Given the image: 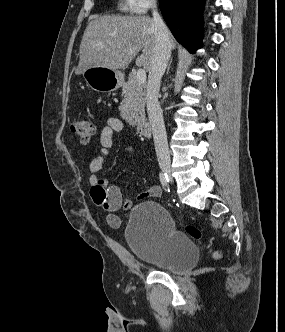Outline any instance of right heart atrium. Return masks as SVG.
I'll return each instance as SVG.
<instances>
[{
  "label": "right heart atrium",
  "instance_id": "obj_1",
  "mask_svg": "<svg viewBox=\"0 0 285 332\" xmlns=\"http://www.w3.org/2000/svg\"><path fill=\"white\" fill-rule=\"evenodd\" d=\"M157 0H123L126 10L134 14H143L156 4Z\"/></svg>",
  "mask_w": 285,
  "mask_h": 332
}]
</instances>
